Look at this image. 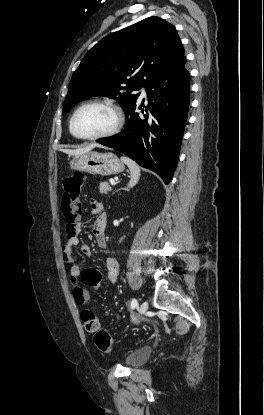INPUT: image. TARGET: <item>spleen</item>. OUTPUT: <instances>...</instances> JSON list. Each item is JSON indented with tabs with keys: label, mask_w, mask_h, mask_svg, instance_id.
<instances>
[{
	"label": "spleen",
	"mask_w": 264,
	"mask_h": 415,
	"mask_svg": "<svg viewBox=\"0 0 264 415\" xmlns=\"http://www.w3.org/2000/svg\"><path fill=\"white\" fill-rule=\"evenodd\" d=\"M121 160L130 169L131 178H130V181L128 183V187L132 188L137 184V182L140 178V168L132 159H130L128 157L122 156Z\"/></svg>",
	"instance_id": "spleen-1"
}]
</instances>
